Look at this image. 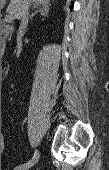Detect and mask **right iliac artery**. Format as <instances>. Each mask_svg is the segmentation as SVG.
Returning <instances> with one entry per match:
<instances>
[{"instance_id":"right-iliac-artery-1","label":"right iliac artery","mask_w":109,"mask_h":170,"mask_svg":"<svg viewBox=\"0 0 109 170\" xmlns=\"http://www.w3.org/2000/svg\"><path fill=\"white\" fill-rule=\"evenodd\" d=\"M38 158H39V153L38 151H35L32 160H30L28 163H25V165L28 167L33 166L38 161Z\"/></svg>"}]
</instances>
